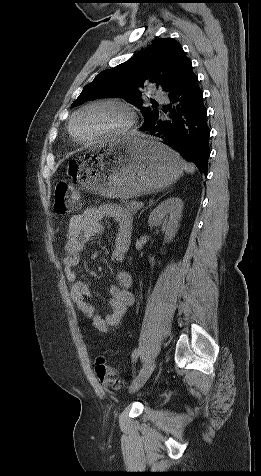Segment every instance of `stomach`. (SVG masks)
I'll return each mask as SVG.
<instances>
[{
    "instance_id": "stomach-1",
    "label": "stomach",
    "mask_w": 261,
    "mask_h": 476,
    "mask_svg": "<svg viewBox=\"0 0 261 476\" xmlns=\"http://www.w3.org/2000/svg\"><path fill=\"white\" fill-rule=\"evenodd\" d=\"M74 183L106 197L130 199L158 192L183 174L180 156L153 137L127 135L75 156Z\"/></svg>"
}]
</instances>
